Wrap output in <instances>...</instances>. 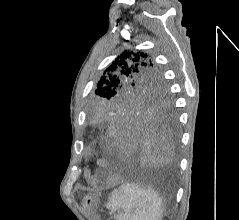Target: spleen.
Returning a JSON list of instances; mask_svg holds the SVG:
<instances>
[{
    "label": "spleen",
    "instance_id": "3e777b00",
    "mask_svg": "<svg viewBox=\"0 0 239 220\" xmlns=\"http://www.w3.org/2000/svg\"><path fill=\"white\" fill-rule=\"evenodd\" d=\"M106 207L113 211L115 220H162L164 212L162 199L156 192L133 183H123L114 190Z\"/></svg>",
    "mask_w": 239,
    "mask_h": 220
}]
</instances>
